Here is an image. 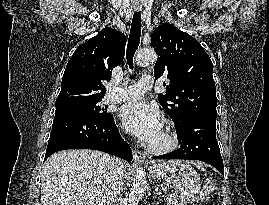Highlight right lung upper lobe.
<instances>
[{
	"label": "right lung upper lobe",
	"mask_w": 269,
	"mask_h": 205,
	"mask_svg": "<svg viewBox=\"0 0 269 205\" xmlns=\"http://www.w3.org/2000/svg\"><path fill=\"white\" fill-rule=\"evenodd\" d=\"M125 45V35L109 27L80 45L68 61L55 106L101 100L102 81H109L112 69L122 63Z\"/></svg>",
	"instance_id": "cb5924a9"
}]
</instances>
